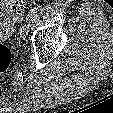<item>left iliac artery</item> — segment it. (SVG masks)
I'll use <instances>...</instances> for the list:
<instances>
[{
	"label": "left iliac artery",
	"mask_w": 113,
	"mask_h": 113,
	"mask_svg": "<svg viewBox=\"0 0 113 113\" xmlns=\"http://www.w3.org/2000/svg\"><path fill=\"white\" fill-rule=\"evenodd\" d=\"M37 12V8L36 7H32L31 9H30V11L28 12V15H27V17H26V20L28 21H30V20H32L33 18H34V16H35V13Z\"/></svg>",
	"instance_id": "1"
}]
</instances>
